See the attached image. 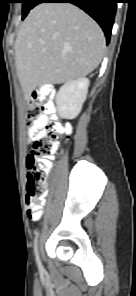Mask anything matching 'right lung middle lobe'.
<instances>
[{
  "mask_svg": "<svg viewBox=\"0 0 136 296\" xmlns=\"http://www.w3.org/2000/svg\"><path fill=\"white\" fill-rule=\"evenodd\" d=\"M20 2L23 3V16L22 19L26 17L28 12L35 7L37 4H39L40 0H21Z\"/></svg>",
  "mask_w": 136,
  "mask_h": 296,
  "instance_id": "1",
  "label": "right lung middle lobe"
}]
</instances>
